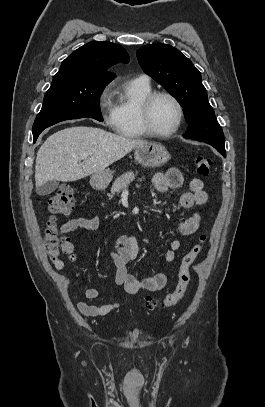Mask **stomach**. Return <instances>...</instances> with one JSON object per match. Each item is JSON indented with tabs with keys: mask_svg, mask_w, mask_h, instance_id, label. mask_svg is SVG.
Listing matches in <instances>:
<instances>
[{
	"mask_svg": "<svg viewBox=\"0 0 265 407\" xmlns=\"http://www.w3.org/2000/svg\"><path fill=\"white\" fill-rule=\"evenodd\" d=\"M134 158L142 166L160 167L169 161L170 154L159 143H146L135 148ZM112 177V172L104 169L92 174L90 183L98 188H106Z\"/></svg>",
	"mask_w": 265,
	"mask_h": 407,
	"instance_id": "obj_1",
	"label": "stomach"
}]
</instances>
